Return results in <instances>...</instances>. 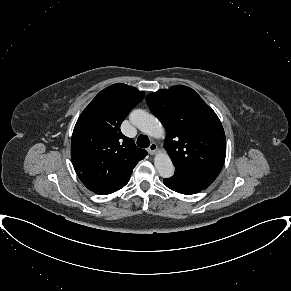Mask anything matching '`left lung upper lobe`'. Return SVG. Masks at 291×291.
I'll return each instance as SVG.
<instances>
[{"label":"left lung upper lobe","mask_w":291,"mask_h":291,"mask_svg":"<svg viewBox=\"0 0 291 291\" xmlns=\"http://www.w3.org/2000/svg\"><path fill=\"white\" fill-rule=\"evenodd\" d=\"M164 125V147L175 169L218 176L226 156V138L215 112L191 88L177 85L146 96Z\"/></svg>","instance_id":"left-lung-upper-lobe-1"}]
</instances>
